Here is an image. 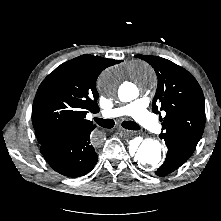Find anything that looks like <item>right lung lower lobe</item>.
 <instances>
[{
	"label": "right lung lower lobe",
	"mask_w": 221,
	"mask_h": 221,
	"mask_svg": "<svg viewBox=\"0 0 221 221\" xmlns=\"http://www.w3.org/2000/svg\"><path fill=\"white\" fill-rule=\"evenodd\" d=\"M94 128L71 133L43 144L41 153L49 165L67 177H79L90 172L97 163Z\"/></svg>",
	"instance_id": "98d812e1"
}]
</instances>
